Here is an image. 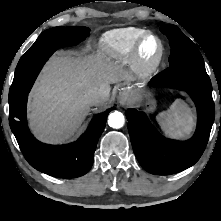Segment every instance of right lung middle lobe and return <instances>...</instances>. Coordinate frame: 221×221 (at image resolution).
<instances>
[{"label": "right lung middle lobe", "instance_id": "1", "mask_svg": "<svg viewBox=\"0 0 221 221\" xmlns=\"http://www.w3.org/2000/svg\"><path fill=\"white\" fill-rule=\"evenodd\" d=\"M89 28L54 27L40 34L36 42L21 57L9 90V103L27 94L44 63L55 50L64 46L76 45L89 36Z\"/></svg>", "mask_w": 221, "mask_h": 221}]
</instances>
